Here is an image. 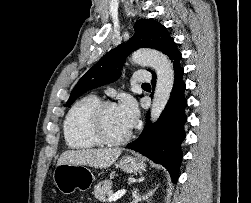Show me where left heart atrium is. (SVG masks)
<instances>
[{
  "mask_svg": "<svg viewBox=\"0 0 251 203\" xmlns=\"http://www.w3.org/2000/svg\"><path fill=\"white\" fill-rule=\"evenodd\" d=\"M116 107L126 127L131 129L138 120V107L135 100L130 96H125Z\"/></svg>",
  "mask_w": 251,
  "mask_h": 203,
  "instance_id": "1",
  "label": "left heart atrium"
}]
</instances>
